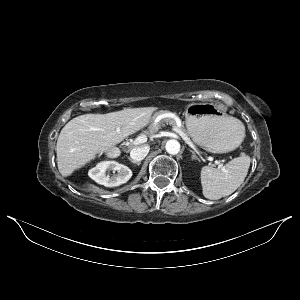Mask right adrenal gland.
I'll return each mask as SVG.
<instances>
[{
  "mask_svg": "<svg viewBox=\"0 0 300 300\" xmlns=\"http://www.w3.org/2000/svg\"><path fill=\"white\" fill-rule=\"evenodd\" d=\"M128 160L133 163V164H136L137 166H139L141 164V161H135V160H132L130 157H128Z\"/></svg>",
  "mask_w": 300,
  "mask_h": 300,
  "instance_id": "2a0ac1e0",
  "label": "right adrenal gland"
}]
</instances>
